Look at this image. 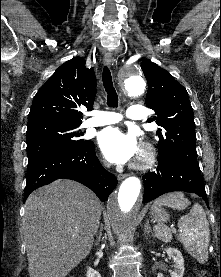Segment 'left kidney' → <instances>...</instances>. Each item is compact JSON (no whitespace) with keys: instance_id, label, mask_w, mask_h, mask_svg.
Returning a JSON list of instances; mask_svg holds the SVG:
<instances>
[{"instance_id":"1","label":"left kidney","mask_w":221,"mask_h":277,"mask_svg":"<svg viewBox=\"0 0 221 277\" xmlns=\"http://www.w3.org/2000/svg\"><path fill=\"white\" fill-rule=\"evenodd\" d=\"M170 259L174 262V269L171 273V277H183L184 274V259L182 253L176 248L164 249ZM157 277H164L162 273H158Z\"/></svg>"}]
</instances>
